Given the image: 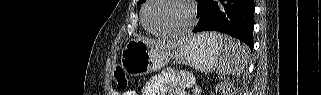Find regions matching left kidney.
Wrapping results in <instances>:
<instances>
[{"label": "left kidney", "mask_w": 321, "mask_h": 95, "mask_svg": "<svg viewBox=\"0 0 321 95\" xmlns=\"http://www.w3.org/2000/svg\"><path fill=\"white\" fill-rule=\"evenodd\" d=\"M220 92L224 95H234V92L232 89L228 88V87H221Z\"/></svg>", "instance_id": "left-kidney-1"}]
</instances>
